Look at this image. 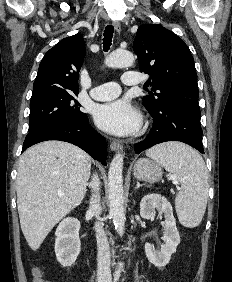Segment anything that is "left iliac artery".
<instances>
[{"label": "left iliac artery", "mask_w": 232, "mask_h": 282, "mask_svg": "<svg viewBox=\"0 0 232 282\" xmlns=\"http://www.w3.org/2000/svg\"><path fill=\"white\" fill-rule=\"evenodd\" d=\"M118 279H119V275H116L115 282H117Z\"/></svg>", "instance_id": "1"}]
</instances>
